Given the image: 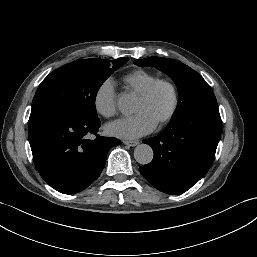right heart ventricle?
<instances>
[{"instance_id":"1","label":"right heart ventricle","mask_w":257,"mask_h":257,"mask_svg":"<svg viewBox=\"0 0 257 257\" xmlns=\"http://www.w3.org/2000/svg\"><path fill=\"white\" fill-rule=\"evenodd\" d=\"M157 79L159 77L156 74L147 70L138 69L126 74L122 78V82L129 92L139 95Z\"/></svg>"}]
</instances>
